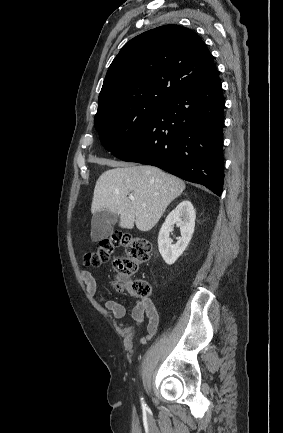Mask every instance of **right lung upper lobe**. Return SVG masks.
<instances>
[{"label":"right lung upper lobe","mask_w":283,"mask_h":433,"mask_svg":"<svg viewBox=\"0 0 283 433\" xmlns=\"http://www.w3.org/2000/svg\"><path fill=\"white\" fill-rule=\"evenodd\" d=\"M218 78L202 39L191 29L164 25L127 42L111 63L98 112L131 103L166 104Z\"/></svg>","instance_id":"obj_1"}]
</instances>
